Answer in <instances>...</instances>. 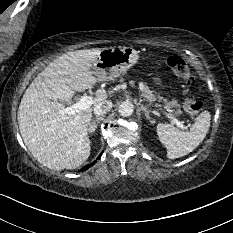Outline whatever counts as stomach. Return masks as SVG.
Here are the masks:
<instances>
[{
    "mask_svg": "<svg viewBox=\"0 0 233 233\" xmlns=\"http://www.w3.org/2000/svg\"><path fill=\"white\" fill-rule=\"evenodd\" d=\"M139 59L133 47H109L100 51L92 70L101 81L113 80L126 73Z\"/></svg>",
    "mask_w": 233,
    "mask_h": 233,
    "instance_id": "obj_1",
    "label": "stomach"
}]
</instances>
